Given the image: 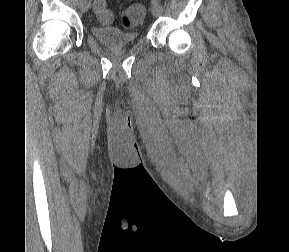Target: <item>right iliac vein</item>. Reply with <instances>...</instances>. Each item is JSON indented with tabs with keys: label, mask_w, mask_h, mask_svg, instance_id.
<instances>
[{
	"label": "right iliac vein",
	"mask_w": 289,
	"mask_h": 252,
	"mask_svg": "<svg viewBox=\"0 0 289 252\" xmlns=\"http://www.w3.org/2000/svg\"><path fill=\"white\" fill-rule=\"evenodd\" d=\"M90 5V0H79L78 2V7L82 12H86Z\"/></svg>",
	"instance_id": "1"
}]
</instances>
